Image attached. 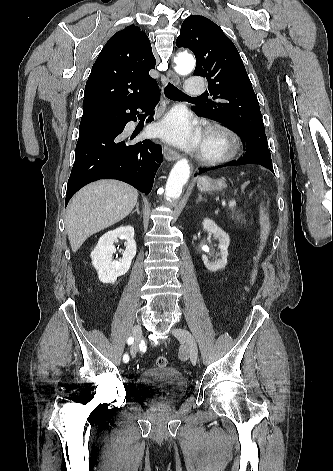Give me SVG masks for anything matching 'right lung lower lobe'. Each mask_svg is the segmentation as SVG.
I'll return each mask as SVG.
<instances>
[{
    "instance_id": "98d812e1",
    "label": "right lung lower lobe",
    "mask_w": 333,
    "mask_h": 471,
    "mask_svg": "<svg viewBox=\"0 0 333 471\" xmlns=\"http://www.w3.org/2000/svg\"><path fill=\"white\" fill-rule=\"evenodd\" d=\"M158 101L157 87L132 103L81 119L65 205L80 188L99 179L121 180L150 193L163 159L161 146L150 140L133 143L135 136L127 138L123 131L129 121H136L137 109L145 111ZM153 114L146 122L153 121Z\"/></svg>"
}]
</instances>
